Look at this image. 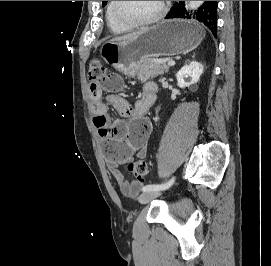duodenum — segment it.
<instances>
[{"label":"duodenum","mask_w":271,"mask_h":266,"mask_svg":"<svg viewBox=\"0 0 271 266\" xmlns=\"http://www.w3.org/2000/svg\"><path fill=\"white\" fill-rule=\"evenodd\" d=\"M150 94L151 95L157 94V88L155 86L152 87V90L150 91Z\"/></svg>","instance_id":"obj_1"}]
</instances>
